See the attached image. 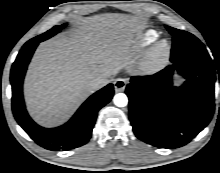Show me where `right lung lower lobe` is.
<instances>
[{
	"mask_svg": "<svg viewBox=\"0 0 220 173\" xmlns=\"http://www.w3.org/2000/svg\"><path fill=\"white\" fill-rule=\"evenodd\" d=\"M40 40L31 39L20 50L11 68L12 109L19 125L40 146L52 150H68L88 142L97 112L113 97V85L109 84L90 96L72 119L63 126L46 129L37 125L27 114L22 94L23 78L27 65Z\"/></svg>",
	"mask_w": 220,
	"mask_h": 173,
	"instance_id": "obj_1",
	"label": "right lung lower lobe"
}]
</instances>
